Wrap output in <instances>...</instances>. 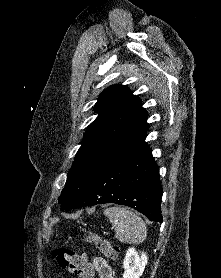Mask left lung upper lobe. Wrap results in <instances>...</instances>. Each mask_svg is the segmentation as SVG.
Wrapping results in <instances>:
<instances>
[{"instance_id":"obj_1","label":"left lung upper lobe","mask_w":221,"mask_h":278,"mask_svg":"<svg viewBox=\"0 0 221 278\" xmlns=\"http://www.w3.org/2000/svg\"><path fill=\"white\" fill-rule=\"evenodd\" d=\"M94 111L99 115L89 125L70 168L59 203L73 209L100 171L120 151L130 146L149 127L141 100L129 88L113 85L105 89Z\"/></svg>"}]
</instances>
